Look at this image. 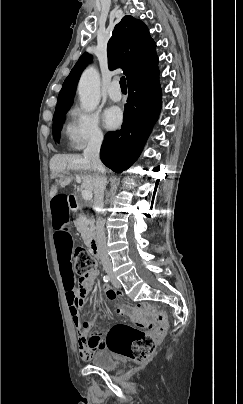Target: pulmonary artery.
Masks as SVG:
<instances>
[{
  "label": "pulmonary artery",
  "mask_w": 243,
  "mask_h": 404,
  "mask_svg": "<svg viewBox=\"0 0 243 404\" xmlns=\"http://www.w3.org/2000/svg\"><path fill=\"white\" fill-rule=\"evenodd\" d=\"M108 95L111 100L119 102L122 99V93L120 90V83L118 80H113L108 89Z\"/></svg>",
  "instance_id": "pulmonary-artery-1"
}]
</instances>
